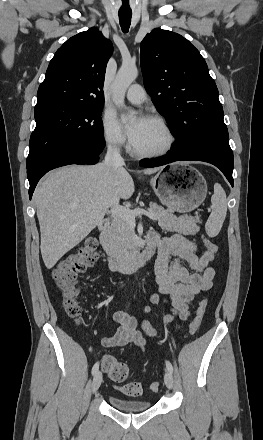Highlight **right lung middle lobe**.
Masks as SVG:
<instances>
[{"label": "right lung middle lobe", "instance_id": "right-lung-middle-lobe-1", "mask_svg": "<svg viewBox=\"0 0 263 440\" xmlns=\"http://www.w3.org/2000/svg\"><path fill=\"white\" fill-rule=\"evenodd\" d=\"M102 106H53L34 110L36 128L30 138L27 167L52 150L78 142L103 141Z\"/></svg>", "mask_w": 263, "mask_h": 440}]
</instances>
